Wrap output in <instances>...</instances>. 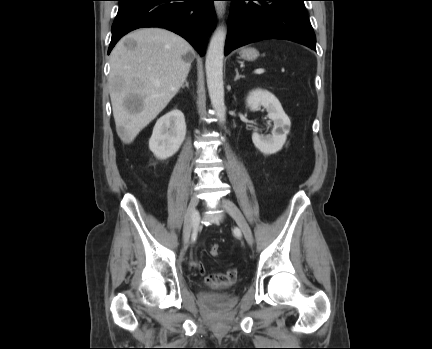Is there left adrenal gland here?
<instances>
[{
	"instance_id": "1",
	"label": "left adrenal gland",
	"mask_w": 432,
	"mask_h": 349,
	"mask_svg": "<svg viewBox=\"0 0 432 349\" xmlns=\"http://www.w3.org/2000/svg\"><path fill=\"white\" fill-rule=\"evenodd\" d=\"M235 72H236V76H235V78H234V81H237V80L240 79V78H244L243 75H239V72H238V69H237V68L235 69Z\"/></svg>"
}]
</instances>
